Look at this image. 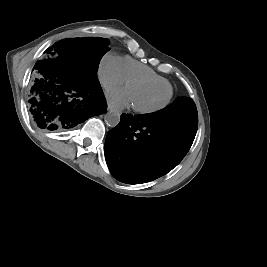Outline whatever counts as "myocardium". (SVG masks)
I'll list each match as a JSON object with an SVG mask.
<instances>
[{"mask_svg":"<svg viewBox=\"0 0 267 267\" xmlns=\"http://www.w3.org/2000/svg\"><path fill=\"white\" fill-rule=\"evenodd\" d=\"M132 83H152L155 85L167 86L170 90V94H169L168 98L163 103H161L159 105L152 106V107H138V106L132 105V108L135 112L142 113V114H150V113L158 112V111L166 108L173 98V88H172L171 84L167 85V84H164L163 82L154 80L152 78L141 77V76L129 78L126 81V86H128Z\"/></svg>","mask_w":267,"mask_h":267,"instance_id":"f54148a6","label":"myocardium"}]
</instances>
